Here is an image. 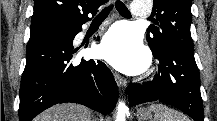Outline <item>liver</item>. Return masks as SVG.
<instances>
[{
	"label": "liver",
	"instance_id": "obj_1",
	"mask_svg": "<svg viewBox=\"0 0 217 121\" xmlns=\"http://www.w3.org/2000/svg\"><path fill=\"white\" fill-rule=\"evenodd\" d=\"M34 121H91V111L79 104H58L37 116Z\"/></svg>",
	"mask_w": 217,
	"mask_h": 121
}]
</instances>
